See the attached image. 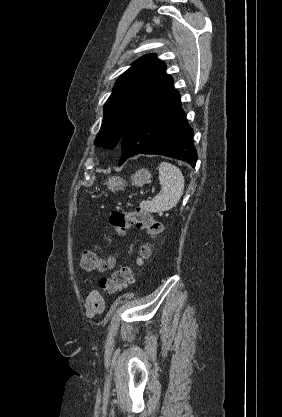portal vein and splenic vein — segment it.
I'll list each match as a JSON object with an SVG mask.
<instances>
[{
  "label": "portal vein and splenic vein",
  "mask_w": 282,
  "mask_h": 417,
  "mask_svg": "<svg viewBox=\"0 0 282 417\" xmlns=\"http://www.w3.org/2000/svg\"><path fill=\"white\" fill-rule=\"evenodd\" d=\"M157 196H160V193H157ZM151 198H155V195H151ZM147 200H150V197H147Z\"/></svg>",
  "instance_id": "18ae733b"
}]
</instances>
